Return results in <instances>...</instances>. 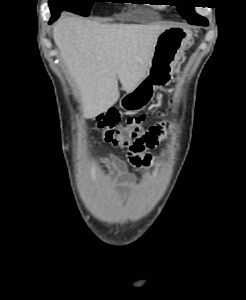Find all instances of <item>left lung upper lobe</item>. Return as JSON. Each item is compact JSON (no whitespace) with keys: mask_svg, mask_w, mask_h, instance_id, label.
Returning <instances> with one entry per match:
<instances>
[{"mask_svg":"<svg viewBox=\"0 0 246 300\" xmlns=\"http://www.w3.org/2000/svg\"><path fill=\"white\" fill-rule=\"evenodd\" d=\"M184 2L185 3L183 5L178 6L179 13L186 18L190 24L207 26V19L194 12L193 4L197 3L198 1L184 0Z\"/></svg>","mask_w":246,"mask_h":300,"instance_id":"5c2ea615","label":"left lung upper lobe"}]
</instances>
